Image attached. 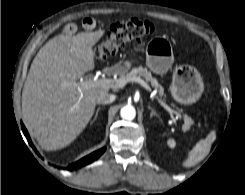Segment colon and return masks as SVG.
<instances>
[{"label":"colon","instance_id":"5ec220e1","mask_svg":"<svg viewBox=\"0 0 245 195\" xmlns=\"http://www.w3.org/2000/svg\"><path fill=\"white\" fill-rule=\"evenodd\" d=\"M153 31V25L141 19L117 23L111 28L105 41L96 47L95 55L99 59L110 57L131 41L141 43L143 38L151 35Z\"/></svg>","mask_w":245,"mask_h":195}]
</instances>
